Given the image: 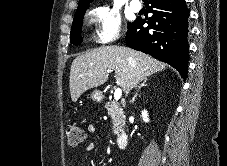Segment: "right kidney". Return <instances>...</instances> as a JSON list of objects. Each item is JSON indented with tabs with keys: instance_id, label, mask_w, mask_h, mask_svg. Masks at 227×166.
Segmentation results:
<instances>
[{
	"instance_id": "right-kidney-1",
	"label": "right kidney",
	"mask_w": 227,
	"mask_h": 166,
	"mask_svg": "<svg viewBox=\"0 0 227 166\" xmlns=\"http://www.w3.org/2000/svg\"><path fill=\"white\" fill-rule=\"evenodd\" d=\"M142 118L144 122H149L148 113L146 110L142 111Z\"/></svg>"
}]
</instances>
